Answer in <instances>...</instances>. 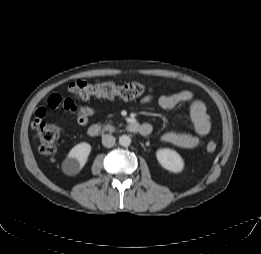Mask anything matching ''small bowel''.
Segmentation results:
<instances>
[{"mask_svg":"<svg viewBox=\"0 0 261 254\" xmlns=\"http://www.w3.org/2000/svg\"><path fill=\"white\" fill-rule=\"evenodd\" d=\"M151 99L152 96H145L141 100V103H148L151 101ZM190 102L191 104L189 107V113L194 126L195 134L166 132L161 136V140L163 142L172 144L182 149H193L199 145L200 137H204L209 134L211 129V123L207 112V107L201 101H193V93L191 91L181 90L174 93H164L158 99L159 105L165 110H171L181 104ZM61 106L67 109L76 117L77 123L81 127H86L88 125L89 118L95 114V111L88 106H83L66 100L62 101V99L58 107H49L51 109H57ZM38 109H42L43 111L38 113ZM38 109L35 111L34 119L31 123L32 128H36L39 125V123L42 122L47 113L45 108ZM144 125L149 124L146 123Z\"/></svg>","mask_w":261,"mask_h":254,"instance_id":"c3829d8e","label":"small bowel"}]
</instances>
